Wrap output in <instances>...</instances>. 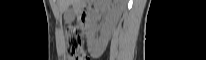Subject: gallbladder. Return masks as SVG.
Listing matches in <instances>:
<instances>
[{
    "label": "gallbladder",
    "instance_id": "bac80fb5",
    "mask_svg": "<svg viewBox=\"0 0 206 60\" xmlns=\"http://www.w3.org/2000/svg\"><path fill=\"white\" fill-rule=\"evenodd\" d=\"M76 16V12L74 10L73 7L68 8L65 12H64V20L65 22L71 23Z\"/></svg>",
    "mask_w": 206,
    "mask_h": 60
}]
</instances>
